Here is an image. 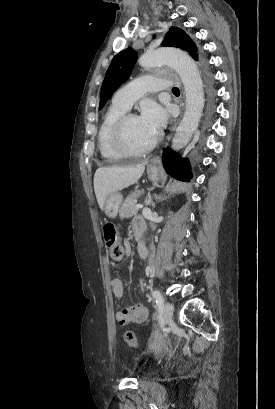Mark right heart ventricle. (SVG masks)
Listing matches in <instances>:
<instances>
[{
	"instance_id": "obj_1",
	"label": "right heart ventricle",
	"mask_w": 275,
	"mask_h": 409,
	"mask_svg": "<svg viewBox=\"0 0 275 409\" xmlns=\"http://www.w3.org/2000/svg\"><path fill=\"white\" fill-rule=\"evenodd\" d=\"M127 111L128 110L112 103L105 113L97 135V143L101 157H124V155L115 149L113 135L117 121L125 115Z\"/></svg>"
}]
</instances>
